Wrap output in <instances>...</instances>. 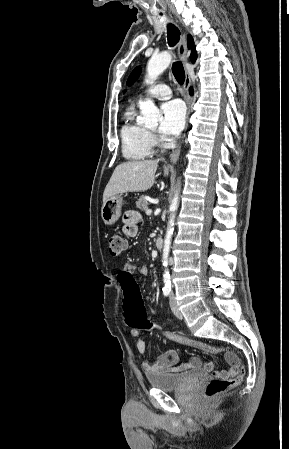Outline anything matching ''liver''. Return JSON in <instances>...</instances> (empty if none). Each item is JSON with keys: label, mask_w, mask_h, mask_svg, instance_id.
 I'll return each instance as SVG.
<instances>
[{"label": "liver", "mask_w": 289, "mask_h": 449, "mask_svg": "<svg viewBox=\"0 0 289 449\" xmlns=\"http://www.w3.org/2000/svg\"><path fill=\"white\" fill-rule=\"evenodd\" d=\"M158 160L128 161L119 164L103 193V203L110 197L126 192H143L150 189L155 180ZM169 170L164 166V175Z\"/></svg>", "instance_id": "liver-1"}]
</instances>
